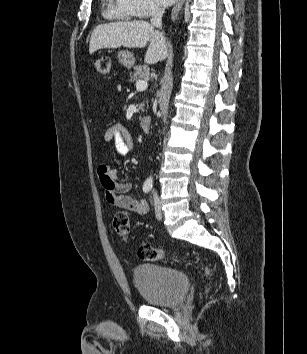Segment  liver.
Segmentation results:
<instances>
[{"mask_svg": "<svg viewBox=\"0 0 307 354\" xmlns=\"http://www.w3.org/2000/svg\"><path fill=\"white\" fill-rule=\"evenodd\" d=\"M149 43L144 61L154 64L168 55L163 33L146 21L113 22L97 26L91 35L89 53L107 48H144Z\"/></svg>", "mask_w": 307, "mask_h": 354, "instance_id": "6515ba94", "label": "liver"}]
</instances>
